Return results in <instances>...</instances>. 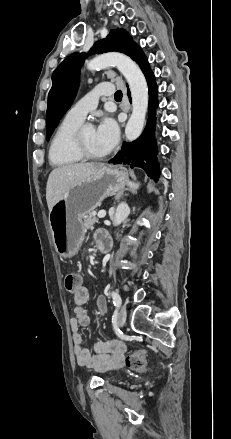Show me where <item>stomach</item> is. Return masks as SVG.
<instances>
[{
  "instance_id": "stomach-1",
  "label": "stomach",
  "mask_w": 231,
  "mask_h": 439,
  "mask_svg": "<svg viewBox=\"0 0 231 439\" xmlns=\"http://www.w3.org/2000/svg\"><path fill=\"white\" fill-rule=\"evenodd\" d=\"M128 181L123 167L103 166L96 174L71 187L49 212L56 252L63 258L75 256L84 240L83 217L108 196L123 191Z\"/></svg>"
}]
</instances>
